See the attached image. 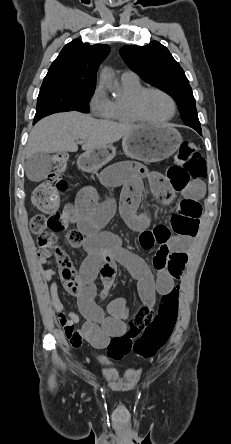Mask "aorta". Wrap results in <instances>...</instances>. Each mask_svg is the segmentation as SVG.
I'll list each match as a JSON object with an SVG mask.
<instances>
[{
  "label": "aorta",
  "instance_id": "1",
  "mask_svg": "<svg viewBox=\"0 0 231 444\" xmlns=\"http://www.w3.org/2000/svg\"><path fill=\"white\" fill-rule=\"evenodd\" d=\"M101 80L108 86L112 87L113 81H112V75L109 70H104L101 74Z\"/></svg>",
  "mask_w": 231,
  "mask_h": 444
}]
</instances>
